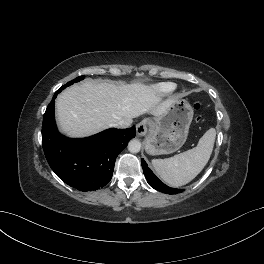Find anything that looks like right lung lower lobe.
I'll return each mask as SVG.
<instances>
[{
  "label": "right lung lower lobe",
  "instance_id": "right-lung-lower-lobe-1",
  "mask_svg": "<svg viewBox=\"0 0 264 264\" xmlns=\"http://www.w3.org/2000/svg\"><path fill=\"white\" fill-rule=\"evenodd\" d=\"M56 91L43 117L42 144L46 159L56 175L80 191L97 190L108 184L116 157L135 137V126L107 129L83 139L59 134L54 119Z\"/></svg>",
  "mask_w": 264,
  "mask_h": 264
}]
</instances>
